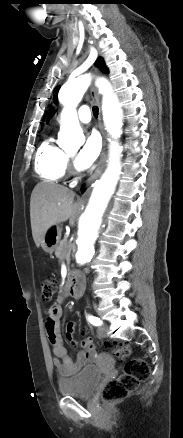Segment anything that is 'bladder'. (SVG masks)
<instances>
[{
  "instance_id": "1",
  "label": "bladder",
  "mask_w": 183,
  "mask_h": 438,
  "mask_svg": "<svg viewBox=\"0 0 183 438\" xmlns=\"http://www.w3.org/2000/svg\"><path fill=\"white\" fill-rule=\"evenodd\" d=\"M101 379L96 367H85L74 376L59 379L58 390L62 395L88 398L95 393Z\"/></svg>"
}]
</instances>
